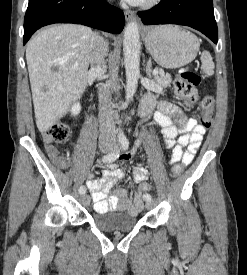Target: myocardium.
Here are the masks:
<instances>
[{
    "label": "myocardium",
    "mask_w": 247,
    "mask_h": 275,
    "mask_svg": "<svg viewBox=\"0 0 247 275\" xmlns=\"http://www.w3.org/2000/svg\"><path fill=\"white\" fill-rule=\"evenodd\" d=\"M161 0H143L138 5L143 8H151L157 5Z\"/></svg>",
    "instance_id": "f54148a6"
}]
</instances>
